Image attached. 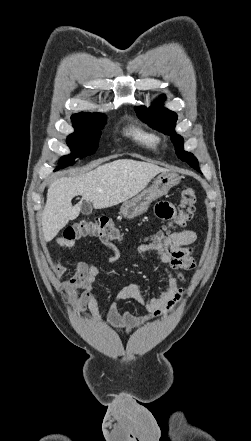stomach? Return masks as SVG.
Listing matches in <instances>:
<instances>
[{
	"label": "stomach",
	"mask_w": 251,
	"mask_h": 441,
	"mask_svg": "<svg viewBox=\"0 0 251 441\" xmlns=\"http://www.w3.org/2000/svg\"><path fill=\"white\" fill-rule=\"evenodd\" d=\"M180 180L181 177L176 172L170 170L161 172L149 188L123 202L120 208L121 214L127 219L143 214L153 201L166 195L172 187L180 183Z\"/></svg>",
	"instance_id": "0dacf381"
}]
</instances>
